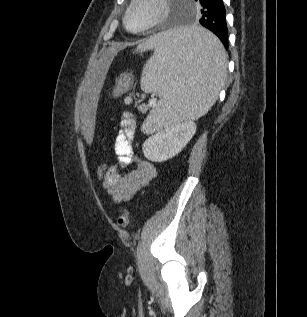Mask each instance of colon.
<instances>
[{
  "instance_id": "obj_1",
  "label": "colon",
  "mask_w": 307,
  "mask_h": 317,
  "mask_svg": "<svg viewBox=\"0 0 307 317\" xmlns=\"http://www.w3.org/2000/svg\"><path fill=\"white\" fill-rule=\"evenodd\" d=\"M108 166L105 162H99L96 167V175L99 178H103L106 174ZM129 223V213L126 209L120 208L117 216V225L118 227L124 229L128 226Z\"/></svg>"
}]
</instances>
